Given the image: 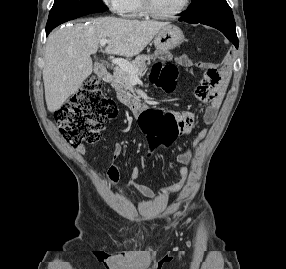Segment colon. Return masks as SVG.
Instances as JSON below:
<instances>
[{
	"mask_svg": "<svg viewBox=\"0 0 286 269\" xmlns=\"http://www.w3.org/2000/svg\"><path fill=\"white\" fill-rule=\"evenodd\" d=\"M169 49H154V54L160 62H174ZM212 64V63H209ZM223 65H198L203 70V80L200 88H218L219 70ZM178 75L173 63L155 65L152 82L171 92L175 88ZM116 115V106L105 95L101 82L97 78L86 80L81 89L55 112V122L62 137L72 146L81 143H95L101 137L105 123ZM140 126H144L142 134L147 137L146 149H161L169 147L180 137L177 121H174L171 111H163L162 106L144 108V116H139ZM162 150H144V155H162Z\"/></svg>",
	"mask_w": 286,
	"mask_h": 269,
	"instance_id": "colon-1",
	"label": "colon"
}]
</instances>
